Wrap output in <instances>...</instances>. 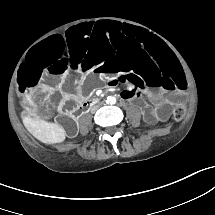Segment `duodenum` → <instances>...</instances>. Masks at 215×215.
Listing matches in <instances>:
<instances>
[{"label": "duodenum", "instance_id": "1", "mask_svg": "<svg viewBox=\"0 0 215 215\" xmlns=\"http://www.w3.org/2000/svg\"><path fill=\"white\" fill-rule=\"evenodd\" d=\"M100 102V99L97 98V97H93L91 99H89L86 103H85V107L86 108H89V107H92V106H96L98 105Z\"/></svg>", "mask_w": 215, "mask_h": 215}]
</instances>
